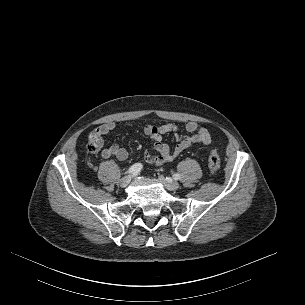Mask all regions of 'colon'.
I'll return each instance as SVG.
<instances>
[{"label":"colon","instance_id":"1","mask_svg":"<svg viewBox=\"0 0 305 305\" xmlns=\"http://www.w3.org/2000/svg\"><path fill=\"white\" fill-rule=\"evenodd\" d=\"M102 146L103 142L101 136L97 132L91 133L87 144V150L91 153H95L101 150ZM208 168L212 174L217 173L220 168V157L216 150H212L209 154Z\"/></svg>","mask_w":305,"mask_h":305}]
</instances>
